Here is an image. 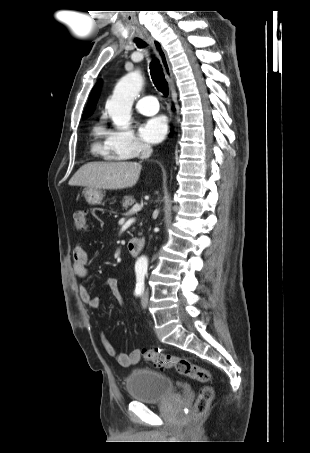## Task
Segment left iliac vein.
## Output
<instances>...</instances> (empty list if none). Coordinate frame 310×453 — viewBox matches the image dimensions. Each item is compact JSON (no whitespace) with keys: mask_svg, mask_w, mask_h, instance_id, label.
Here are the masks:
<instances>
[{"mask_svg":"<svg viewBox=\"0 0 310 453\" xmlns=\"http://www.w3.org/2000/svg\"><path fill=\"white\" fill-rule=\"evenodd\" d=\"M148 299H149V292L148 290H145L143 293H142V296H141V305L143 308H146L147 305H148Z\"/></svg>","mask_w":310,"mask_h":453,"instance_id":"obj_1","label":"left iliac vein"}]
</instances>
